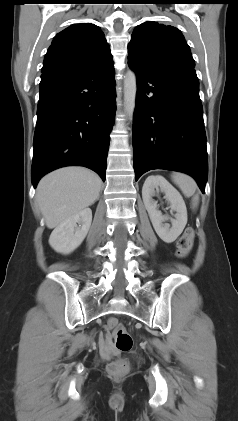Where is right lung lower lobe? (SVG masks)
Here are the masks:
<instances>
[{"mask_svg":"<svg viewBox=\"0 0 238 421\" xmlns=\"http://www.w3.org/2000/svg\"><path fill=\"white\" fill-rule=\"evenodd\" d=\"M115 70L43 71L34 134L32 183L63 166H85L105 181L109 134L115 116Z\"/></svg>","mask_w":238,"mask_h":421,"instance_id":"1","label":"right lung lower lobe"}]
</instances>
